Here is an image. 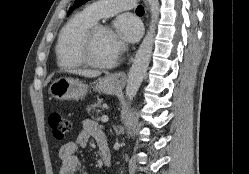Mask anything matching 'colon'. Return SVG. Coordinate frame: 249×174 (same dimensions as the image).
<instances>
[{
  "instance_id": "obj_1",
  "label": "colon",
  "mask_w": 249,
  "mask_h": 174,
  "mask_svg": "<svg viewBox=\"0 0 249 174\" xmlns=\"http://www.w3.org/2000/svg\"><path fill=\"white\" fill-rule=\"evenodd\" d=\"M48 123L53 136L58 140L64 139L71 131V122L59 113H51L48 117Z\"/></svg>"
}]
</instances>
